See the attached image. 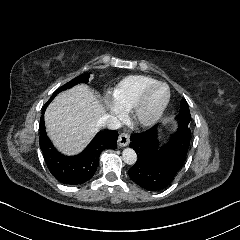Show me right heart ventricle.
I'll list each match as a JSON object with an SVG mask.
<instances>
[{
	"label": "right heart ventricle",
	"mask_w": 240,
	"mask_h": 240,
	"mask_svg": "<svg viewBox=\"0 0 240 240\" xmlns=\"http://www.w3.org/2000/svg\"><path fill=\"white\" fill-rule=\"evenodd\" d=\"M156 81L145 76H130L122 79L108 90L106 102L111 109L127 111L132 109L146 88Z\"/></svg>",
	"instance_id": "right-heart-ventricle-1"
}]
</instances>
